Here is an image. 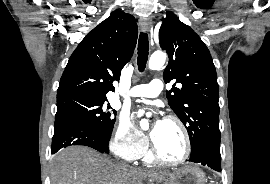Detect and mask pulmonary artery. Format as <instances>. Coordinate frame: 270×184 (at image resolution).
Listing matches in <instances>:
<instances>
[{
    "instance_id": "1",
    "label": "pulmonary artery",
    "mask_w": 270,
    "mask_h": 184,
    "mask_svg": "<svg viewBox=\"0 0 270 184\" xmlns=\"http://www.w3.org/2000/svg\"><path fill=\"white\" fill-rule=\"evenodd\" d=\"M163 90V83L159 79H153L148 84L134 86L128 93L131 97H157Z\"/></svg>"
}]
</instances>
